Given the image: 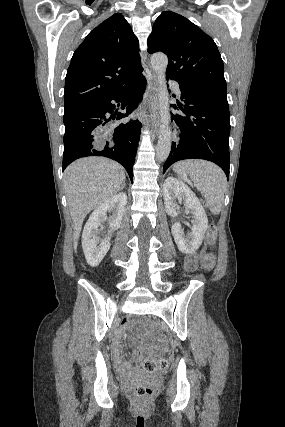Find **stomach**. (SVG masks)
Wrapping results in <instances>:
<instances>
[{
  "label": "stomach",
  "mask_w": 285,
  "mask_h": 427,
  "mask_svg": "<svg viewBox=\"0 0 285 427\" xmlns=\"http://www.w3.org/2000/svg\"><path fill=\"white\" fill-rule=\"evenodd\" d=\"M187 176H188V174H186V173H182V174L180 175V177H181L182 179H184V180H187Z\"/></svg>",
  "instance_id": "1"
}]
</instances>
